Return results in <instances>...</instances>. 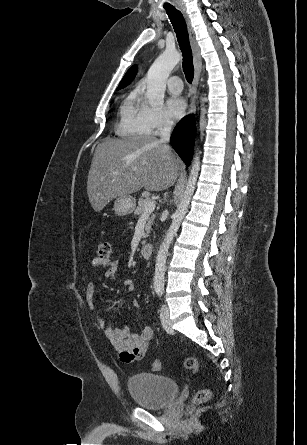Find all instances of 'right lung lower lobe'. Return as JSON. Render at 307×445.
<instances>
[{"label": "right lung lower lobe", "mask_w": 307, "mask_h": 445, "mask_svg": "<svg viewBox=\"0 0 307 445\" xmlns=\"http://www.w3.org/2000/svg\"><path fill=\"white\" fill-rule=\"evenodd\" d=\"M195 122L192 116L183 118L171 135V144L181 159L188 166L191 162L194 147Z\"/></svg>", "instance_id": "98d812e1"}]
</instances>
